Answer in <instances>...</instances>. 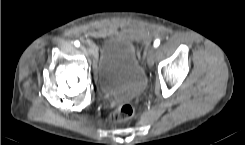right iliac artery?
<instances>
[{
	"instance_id": "82829eb1",
	"label": "right iliac artery",
	"mask_w": 245,
	"mask_h": 145,
	"mask_svg": "<svg viewBox=\"0 0 245 145\" xmlns=\"http://www.w3.org/2000/svg\"><path fill=\"white\" fill-rule=\"evenodd\" d=\"M74 44H75L76 47L80 46V42L79 41H75Z\"/></svg>"
}]
</instances>
